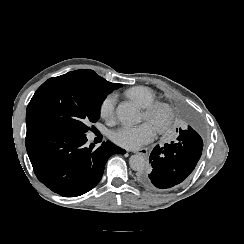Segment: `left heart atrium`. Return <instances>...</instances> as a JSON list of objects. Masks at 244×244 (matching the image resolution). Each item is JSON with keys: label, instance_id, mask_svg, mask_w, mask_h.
I'll list each match as a JSON object with an SVG mask.
<instances>
[{"label": "left heart atrium", "instance_id": "left-heart-atrium-1", "mask_svg": "<svg viewBox=\"0 0 244 244\" xmlns=\"http://www.w3.org/2000/svg\"><path fill=\"white\" fill-rule=\"evenodd\" d=\"M155 138L156 128L149 122L136 127L121 128L112 135V139L116 144L133 150L153 142Z\"/></svg>", "mask_w": 244, "mask_h": 244}]
</instances>
